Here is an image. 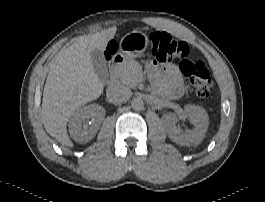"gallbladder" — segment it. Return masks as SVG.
<instances>
[{
  "instance_id": "1",
  "label": "gallbladder",
  "mask_w": 265,
  "mask_h": 202,
  "mask_svg": "<svg viewBox=\"0 0 265 202\" xmlns=\"http://www.w3.org/2000/svg\"><path fill=\"white\" fill-rule=\"evenodd\" d=\"M90 57H91L94 70L96 74L98 75V77L102 79L106 78L108 74V68H107L106 59L103 55V52L98 49H94L91 51Z\"/></svg>"
}]
</instances>
